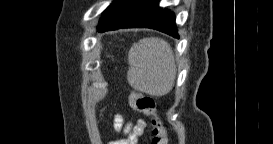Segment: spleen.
I'll return each mask as SVG.
<instances>
[{
    "label": "spleen",
    "mask_w": 273,
    "mask_h": 144,
    "mask_svg": "<svg viewBox=\"0 0 273 144\" xmlns=\"http://www.w3.org/2000/svg\"><path fill=\"white\" fill-rule=\"evenodd\" d=\"M128 63L127 80L134 89L157 97L172 90L176 65L172 48L165 40L140 39L129 50Z\"/></svg>",
    "instance_id": "spleen-1"
}]
</instances>
